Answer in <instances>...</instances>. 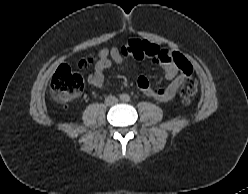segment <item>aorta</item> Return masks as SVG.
<instances>
[{
	"label": "aorta",
	"instance_id": "obj_1",
	"mask_svg": "<svg viewBox=\"0 0 248 194\" xmlns=\"http://www.w3.org/2000/svg\"><path fill=\"white\" fill-rule=\"evenodd\" d=\"M120 98H121V100L124 101V102H127V101L130 100L129 95H127V94H122V95L120 96Z\"/></svg>",
	"mask_w": 248,
	"mask_h": 194
}]
</instances>
